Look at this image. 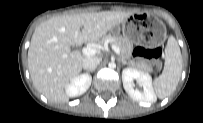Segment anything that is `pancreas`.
<instances>
[{"label":"pancreas","instance_id":"cf45deb5","mask_svg":"<svg viewBox=\"0 0 203 123\" xmlns=\"http://www.w3.org/2000/svg\"><path fill=\"white\" fill-rule=\"evenodd\" d=\"M105 41H110L113 45H116L120 49V54L122 57L129 58L132 50V43L128 39L122 36L108 34L103 36L99 43L103 44ZM140 68L147 72L152 71V67L145 63L141 64Z\"/></svg>","mask_w":203,"mask_h":123}]
</instances>
